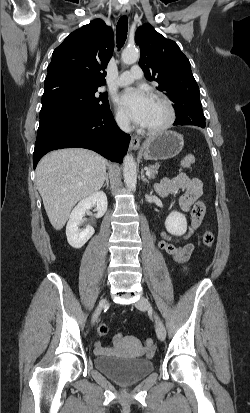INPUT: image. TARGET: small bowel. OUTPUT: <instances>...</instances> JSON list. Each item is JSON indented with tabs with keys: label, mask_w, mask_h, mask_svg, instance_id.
<instances>
[{
	"label": "small bowel",
	"mask_w": 250,
	"mask_h": 413,
	"mask_svg": "<svg viewBox=\"0 0 250 413\" xmlns=\"http://www.w3.org/2000/svg\"><path fill=\"white\" fill-rule=\"evenodd\" d=\"M156 191L162 197L176 194L179 191L184 192L179 199V205L183 211L191 212V223L187 232L181 237H172L162 232L159 241V248L169 259L184 268L194 251V245L191 243L179 245V243L189 239L202 223L205 212L204 204L199 200L202 194V183L197 178L180 173L172 178H164L157 183ZM126 340L128 339L123 336L118 345H113L112 348H105L97 342L94 351L97 355L116 354L119 352L121 344ZM129 341L133 340L129 339Z\"/></svg>",
	"instance_id": "1"
}]
</instances>
